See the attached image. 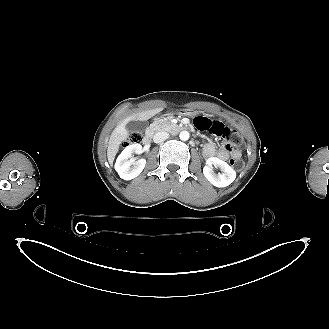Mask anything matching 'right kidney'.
Masks as SVG:
<instances>
[{
    "instance_id": "right-kidney-1",
    "label": "right kidney",
    "mask_w": 329,
    "mask_h": 329,
    "mask_svg": "<svg viewBox=\"0 0 329 329\" xmlns=\"http://www.w3.org/2000/svg\"><path fill=\"white\" fill-rule=\"evenodd\" d=\"M142 146L138 143L127 146L118 156L115 163V170L119 176L124 180H131L136 178L144 169L146 165L145 159L132 161L130 158L133 153L140 154Z\"/></svg>"
}]
</instances>
